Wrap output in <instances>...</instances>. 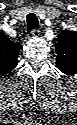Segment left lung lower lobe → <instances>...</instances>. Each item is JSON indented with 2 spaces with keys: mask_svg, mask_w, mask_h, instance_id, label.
<instances>
[{
  "mask_svg": "<svg viewBox=\"0 0 77 125\" xmlns=\"http://www.w3.org/2000/svg\"><path fill=\"white\" fill-rule=\"evenodd\" d=\"M57 68H58L61 72L65 73V74H73V73H75V68H73V67L57 66Z\"/></svg>",
  "mask_w": 77,
  "mask_h": 125,
  "instance_id": "obj_1",
  "label": "left lung lower lobe"
}]
</instances>
